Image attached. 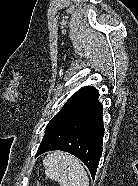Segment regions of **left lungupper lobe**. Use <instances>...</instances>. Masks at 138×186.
<instances>
[{
  "label": "left lung upper lobe",
  "mask_w": 138,
  "mask_h": 186,
  "mask_svg": "<svg viewBox=\"0 0 138 186\" xmlns=\"http://www.w3.org/2000/svg\"><path fill=\"white\" fill-rule=\"evenodd\" d=\"M94 90L96 89L90 86L83 87L78 90L70 99H68L61 111L49 122L46 129L52 126L61 116L74 108L80 101L90 95Z\"/></svg>",
  "instance_id": "5c2ea615"
}]
</instances>
